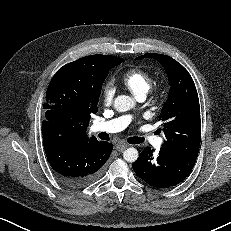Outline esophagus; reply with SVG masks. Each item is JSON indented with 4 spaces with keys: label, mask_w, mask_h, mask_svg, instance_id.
I'll use <instances>...</instances> for the list:
<instances>
[{
    "label": "esophagus",
    "mask_w": 231,
    "mask_h": 231,
    "mask_svg": "<svg viewBox=\"0 0 231 231\" xmlns=\"http://www.w3.org/2000/svg\"><path fill=\"white\" fill-rule=\"evenodd\" d=\"M127 147H128V145H127V144H124V143H118V144L116 145V149H117V151H119V152L124 151Z\"/></svg>",
    "instance_id": "34e87169"
}]
</instances>
